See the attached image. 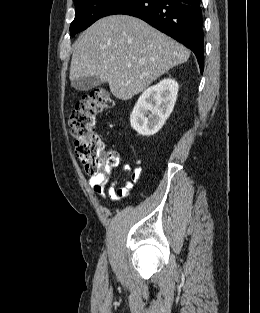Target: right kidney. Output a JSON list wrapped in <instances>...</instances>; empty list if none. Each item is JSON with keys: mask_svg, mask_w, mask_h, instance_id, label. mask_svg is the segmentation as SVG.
Instances as JSON below:
<instances>
[{"mask_svg": "<svg viewBox=\"0 0 260 313\" xmlns=\"http://www.w3.org/2000/svg\"><path fill=\"white\" fill-rule=\"evenodd\" d=\"M178 93V83L166 78L146 89L130 115L131 127L143 136L157 133L170 116Z\"/></svg>", "mask_w": 260, "mask_h": 313, "instance_id": "right-kidney-1", "label": "right kidney"}]
</instances>
